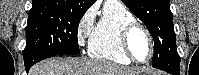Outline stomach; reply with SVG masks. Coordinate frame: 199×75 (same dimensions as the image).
Here are the masks:
<instances>
[{
	"instance_id": "1",
	"label": "stomach",
	"mask_w": 199,
	"mask_h": 75,
	"mask_svg": "<svg viewBox=\"0 0 199 75\" xmlns=\"http://www.w3.org/2000/svg\"><path fill=\"white\" fill-rule=\"evenodd\" d=\"M137 75H151V74H149V72H147V71H142V72L138 73Z\"/></svg>"
}]
</instances>
